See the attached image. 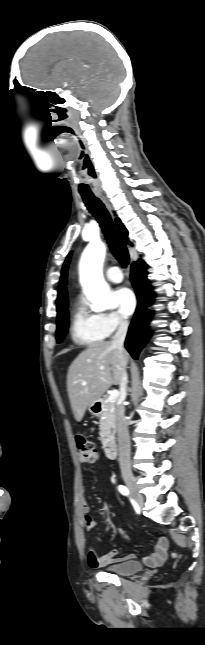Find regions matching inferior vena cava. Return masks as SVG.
Masks as SVG:
<instances>
[{"label": "inferior vena cava", "instance_id": "602c4592", "mask_svg": "<svg viewBox=\"0 0 205 645\" xmlns=\"http://www.w3.org/2000/svg\"><path fill=\"white\" fill-rule=\"evenodd\" d=\"M128 321L124 318H120L119 326L117 332L112 338V346L116 347L121 353L124 351V340L126 337L128 329ZM125 363L123 364V371L120 381V403L116 407L115 417H116V427L118 435V447H119V464L121 471H131L130 463V438L128 432V426L125 419V407L123 401L126 398L128 375L125 369Z\"/></svg>", "mask_w": 205, "mask_h": 645}]
</instances>
